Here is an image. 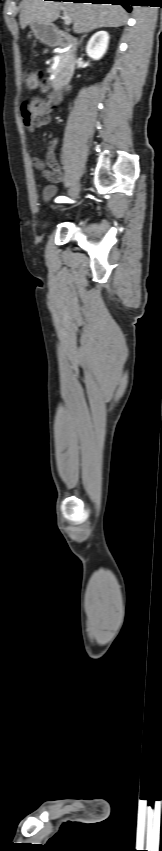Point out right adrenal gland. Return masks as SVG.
<instances>
[{
    "label": "right adrenal gland",
    "instance_id": "2a0ac1e0",
    "mask_svg": "<svg viewBox=\"0 0 162 851\" xmlns=\"http://www.w3.org/2000/svg\"><path fill=\"white\" fill-rule=\"evenodd\" d=\"M87 33H89V32H87ZM87 33L85 35H83L81 42L83 41L84 37H86Z\"/></svg>",
    "mask_w": 162,
    "mask_h": 851
}]
</instances>
